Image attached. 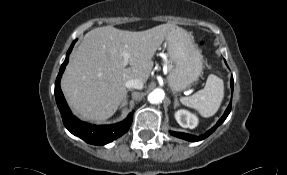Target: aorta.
<instances>
[{
  "label": "aorta",
  "mask_w": 287,
  "mask_h": 175,
  "mask_svg": "<svg viewBox=\"0 0 287 175\" xmlns=\"http://www.w3.org/2000/svg\"><path fill=\"white\" fill-rule=\"evenodd\" d=\"M165 97V93L162 89H154L149 95H148V101L152 104H158L161 103L162 100Z\"/></svg>",
  "instance_id": "aorta-1"
}]
</instances>
